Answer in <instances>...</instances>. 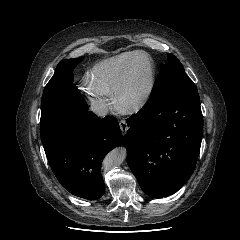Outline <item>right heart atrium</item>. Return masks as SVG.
I'll list each match as a JSON object with an SVG mask.
<instances>
[{
	"instance_id": "1",
	"label": "right heart atrium",
	"mask_w": 240,
	"mask_h": 240,
	"mask_svg": "<svg viewBox=\"0 0 240 240\" xmlns=\"http://www.w3.org/2000/svg\"><path fill=\"white\" fill-rule=\"evenodd\" d=\"M83 89L94 99L105 98V101L108 102L109 105H113L110 99V91H108L104 86L99 84L95 79L91 76L87 75L84 77L82 82Z\"/></svg>"
}]
</instances>
